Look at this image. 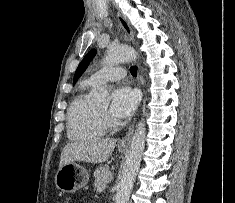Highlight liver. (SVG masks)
I'll return each instance as SVG.
<instances>
[{
  "mask_svg": "<svg viewBox=\"0 0 235 203\" xmlns=\"http://www.w3.org/2000/svg\"><path fill=\"white\" fill-rule=\"evenodd\" d=\"M116 142V139L95 138L68 143L62 150L59 167L75 161L90 163L105 162L112 154Z\"/></svg>",
  "mask_w": 235,
  "mask_h": 203,
  "instance_id": "obj_1",
  "label": "liver"
}]
</instances>
